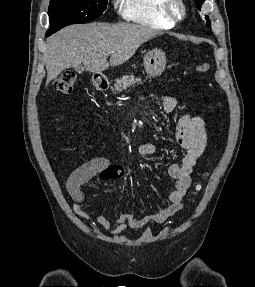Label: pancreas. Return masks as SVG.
I'll use <instances>...</instances> for the list:
<instances>
[{"instance_id": "1", "label": "pancreas", "mask_w": 255, "mask_h": 287, "mask_svg": "<svg viewBox=\"0 0 255 287\" xmlns=\"http://www.w3.org/2000/svg\"><path fill=\"white\" fill-rule=\"evenodd\" d=\"M115 82L114 88H111L113 94H119L122 90H127L131 86H135V84H143L140 78H134V76H122V78H118Z\"/></svg>"}]
</instances>
